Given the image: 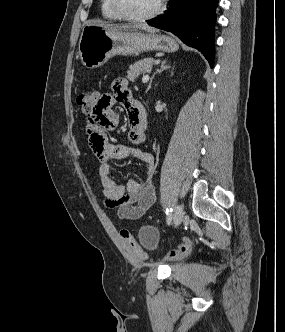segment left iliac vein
<instances>
[{"label":"left iliac vein","instance_id":"4c4485c4","mask_svg":"<svg viewBox=\"0 0 285 332\" xmlns=\"http://www.w3.org/2000/svg\"><path fill=\"white\" fill-rule=\"evenodd\" d=\"M184 218V211L183 208L180 204H178L175 208V213H174V225L178 226L181 224Z\"/></svg>","mask_w":285,"mask_h":332}]
</instances>
